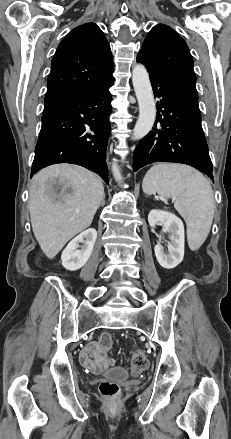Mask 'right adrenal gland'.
<instances>
[{
	"label": "right adrenal gland",
	"mask_w": 231,
	"mask_h": 439,
	"mask_svg": "<svg viewBox=\"0 0 231 439\" xmlns=\"http://www.w3.org/2000/svg\"><path fill=\"white\" fill-rule=\"evenodd\" d=\"M104 204H105V200H104V198L102 199V202H101V206H104Z\"/></svg>",
	"instance_id": "1"
}]
</instances>
